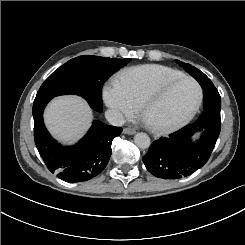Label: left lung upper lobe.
I'll list each match as a JSON object with an SVG mask.
<instances>
[{
	"instance_id": "left-lung-upper-lobe-1",
	"label": "left lung upper lobe",
	"mask_w": 245,
	"mask_h": 245,
	"mask_svg": "<svg viewBox=\"0 0 245 245\" xmlns=\"http://www.w3.org/2000/svg\"><path fill=\"white\" fill-rule=\"evenodd\" d=\"M177 63H179L188 73H190L197 81L199 79L204 78L206 75L202 73L200 70L195 68L194 66H191L190 64L180 62L179 60H176Z\"/></svg>"
}]
</instances>
